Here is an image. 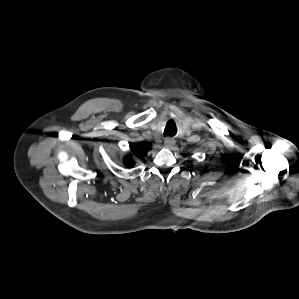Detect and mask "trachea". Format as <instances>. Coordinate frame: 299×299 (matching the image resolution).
Listing matches in <instances>:
<instances>
[{
  "label": "trachea",
  "instance_id": "trachea-1",
  "mask_svg": "<svg viewBox=\"0 0 299 299\" xmlns=\"http://www.w3.org/2000/svg\"><path fill=\"white\" fill-rule=\"evenodd\" d=\"M177 132V128L173 122H168L164 130V136H174Z\"/></svg>",
  "mask_w": 299,
  "mask_h": 299
}]
</instances>
